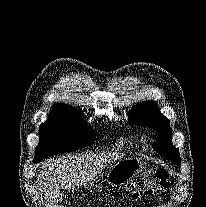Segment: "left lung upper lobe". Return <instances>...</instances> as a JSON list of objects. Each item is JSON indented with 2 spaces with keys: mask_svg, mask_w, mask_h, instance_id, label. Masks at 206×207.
Here are the masks:
<instances>
[{
  "mask_svg": "<svg viewBox=\"0 0 206 207\" xmlns=\"http://www.w3.org/2000/svg\"><path fill=\"white\" fill-rule=\"evenodd\" d=\"M128 121L131 125L149 126L156 130L159 136L154 142V150L174 164H180L179 150L173 146L171 141L170 122L160 113L154 101H144L134 106L130 111Z\"/></svg>",
  "mask_w": 206,
  "mask_h": 207,
  "instance_id": "left-lung-upper-lobe-1",
  "label": "left lung upper lobe"
}]
</instances>
